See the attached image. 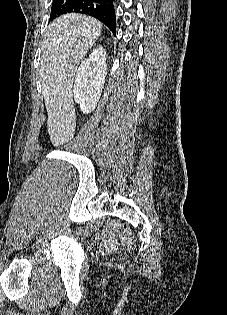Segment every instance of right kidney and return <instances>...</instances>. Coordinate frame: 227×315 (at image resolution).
<instances>
[{"label": "right kidney", "mask_w": 227, "mask_h": 315, "mask_svg": "<svg viewBox=\"0 0 227 315\" xmlns=\"http://www.w3.org/2000/svg\"><path fill=\"white\" fill-rule=\"evenodd\" d=\"M107 73L106 51L94 49L77 70L74 83V99L83 113H91L100 99Z\"/></svg>", "instance_id": "1"}]
</instances>
